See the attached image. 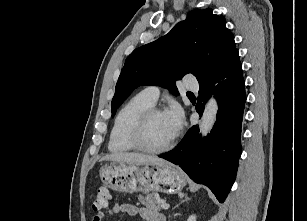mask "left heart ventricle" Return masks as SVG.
Listing matches in <instances>:
<instances>
[{
    "label": "left heart ventricle",
    "instance_id": "1",
    "mask_svg": "<svg viewBox=\"0 0 307 221\" xmlns=\"http://www.w3.org/2000/svg\"><path fill=\"white\" fill-rule=\"evenodd\" d=\"M174 136L166 113L154 115L147 126L145 142L151 147H160Z\"/></svg>",
    "mask_w": 307,
    "mask_h": 221
}]
</instances>
